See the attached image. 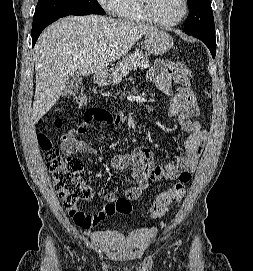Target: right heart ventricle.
I'll list each match as a JSON object with an SVG mask.
<instances>
[{"label":"right heart ventricle","instance_id":"e07e8e85","mask_svg":"<svg viewBox=\"0 0 253 271\" xmlns=\"http://www.w3.org/2000/svg\"><path fill=\"white\" fill-rule=\"evenodd\" d=\"M117 15L121 18L137 22H148L145 16L140 0H121L117 10Z\"/></svg>","mask_w":253,"mask_h":271}]
</instances>
